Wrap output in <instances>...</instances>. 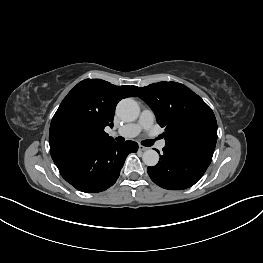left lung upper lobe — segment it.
<instances>
[{
  "label": "left lung upper lobe",
  "instance_id": "1",
  "mask_svg": "<svg viewBox=\"0 0 263 263\" xmlns=\"http://www.w3.org/2000/svg\"><path fill=\"white\" fill-rule=\"evenodd\" d=\"M165 128V148L212 160L217 122L211 108L192 90L177 82L133 86Z\"/></svg>",
  "mask_w": 263,
  "mask_h": 263
}]
</instances>
